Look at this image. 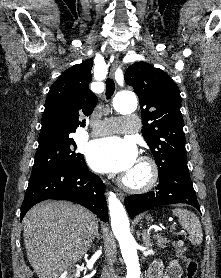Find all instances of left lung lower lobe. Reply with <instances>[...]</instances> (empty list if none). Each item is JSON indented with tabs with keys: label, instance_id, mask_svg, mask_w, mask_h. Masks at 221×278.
<instances>
[{
	"label": "left lung lower lobe",
	"instance_id": "0a47b994",
	"mask_svg": "<svg viewBox=\"0 0 221 278\" xmlns=\"http://www.w3.org/2000/svg\"><path fill=\"white\" fill-rule=\"evenodd\" d=\"M124 203L132 218L142 211L175 203L189 204L200 211L187 163L176 164L164 174L159 175V185L155 191L130 195L125 198Z\"/></svg>",
	"mask_w": 221,
	"mask_h": 278
}]
</instances>
